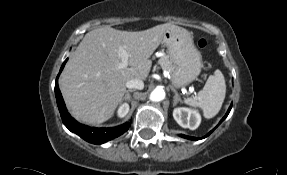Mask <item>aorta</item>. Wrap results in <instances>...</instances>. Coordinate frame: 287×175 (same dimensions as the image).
Masks as SVG:
<instances>
[{"mask_svg": "<svg viewBox=\"0 0 287 175\" xmlns=\"http://www.w3.org/2000/svg\"><path fill=\"white\" fill-rule=\"evenodd\" d=\"M149 98L153 102L162 101L165 98V91L162 88L157 87L151 92Z\"/></svg>", "mask_w": 287, "mask_h": 175, "instance_id": "762f6f07", "label": "aorta"}]
</instances>
